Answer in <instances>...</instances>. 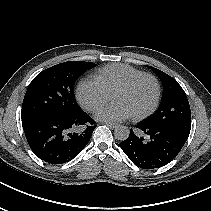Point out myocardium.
<instances>
[{
  "mask_svg": "<svg viewBox=\"0 0 211 211\" xmlns=\"http://www.w3.org/2000/svg\"><path fill=\"white\" fill-rule=\"evenodd\" d=\"M146 78L152 80L155 85V90H156L155 99H154V102L152 103V105L148 109H146L143 112L133 114V117L135 119L145 118V117L151 115L157 109L159 102H160V98H161V86H160L158 79L152 74L143 73V74H140L138 76L131 78L130 80L123 83L122 85H120L113 91V94L117 93V92L126 91V90L130 89L132 86H134L137 82L141 81L142 79H146Z\"/></svg>",
  "mask_w": 211,
  "mask_h": 211,
  "instance_id": "obj_1",
  "label": "myocardium"
}]
</instances>
